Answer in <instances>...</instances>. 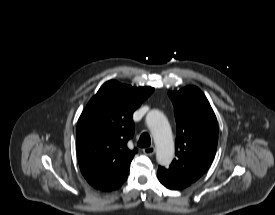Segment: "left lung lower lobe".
<instances>
[{
  "instance_id": "left-lung-lower-lobe-1",
  "label": "left lung lower lobe",
  "mask_w": 275,
  "mask_h": 215,
  "mask_svg": "<svg viewBox=\"0 0 275 215\" xmlns=\"http://www.w3.org/2000/svg\"><path fill=\"white\" fill-rule=\"evenodd\" d=\"M159 181L167 188L177 190L183 189L190 184L187 182H182L171 177L165 170L158 169L157 172Z\"/></svg>"
}]
</instances>
